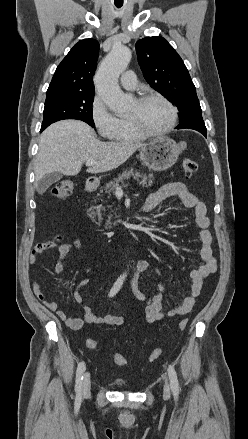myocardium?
Wrapping results in <instances>:
<instances>
[{
	"mask_svg": "<svg viewBox=\"0 0 248 439\" xmlns=\"http://www.w3.org/2000/svg\"><path fill=\"white\" fill-rule=\"evenodd\" d=\"M151 99H159V100L163 101L169 107V109L171 111V121H170V124L168 125L167 128H165L164 130H161V131H150L142 125L138 115L128 117V120H129L131 126L133 127V129L137 133H139L140 135H142L144 137H157V136L167 135L175 128V126L177 124V119H178L177 108L168 98H166L165 96H163L162 94H159V93L143 94V95L139 96L136 99V101L139 105H142Z\"/></svg>",
	"mask_w": 248,
	"mask_h": 439,
	"instance_id": "1",
	"label": "myocardium"
}]
</instances>
